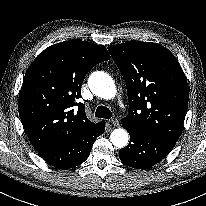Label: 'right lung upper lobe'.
I'll return each mask as SVG.
<instances>
[{
	"label": "right lung upper lobe",
	"instance_id": "right-lung-upper-lobe-1",
	"mask_svg": "<svg viewBox=\"0 0 206 206\" xmlns=\"http://www.w3.org/2000/svg\"><path fill=\"white\" fill-rule=\"evenodd\" d=\"M110 56L102 45L69 40L42 51L27 69L19 94L23 127L38 152L66 145L98 124L77 103L85 75ZM78 109L74 111V107Z\"/></svg>",
	"mask_w": 206,
	"mask_h": 206
}]
</instances>
